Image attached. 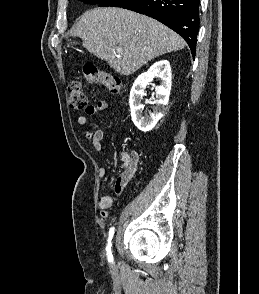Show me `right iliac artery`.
Masks as SVG:
<instances>
[{
    "instance_id": "right-iliac-artery-1",
    "label": "right iliac artery",
    "mask_w": 259,
    "mask_h": 294,
    "mask_svg": "<svg viewBox=\"0 0 259 294\" xmlns=\"http://www.w3.org/2000/svg\"><path fill=\"white\" fill-rule=\"evenodd\" d=\"M114 232H115V228L114 227L110 228L108 239H107L106 255L109 262H113V255L111 251V246H112L111 240L113 238Z\"/></svg>"
}]
</instances>
